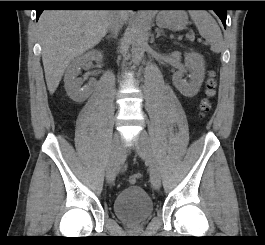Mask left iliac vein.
Returning a JSON list of instances; mask_svg holds the SVG:
<instances>
[{
	"mask_svg": "<svg viewBox=\"0 0 265 245\" xmlns=\"http://www.w3.org/2000/svg\"><path fill=\"white\" fill-rule=\"evenodd\" d=\"M136 142V150L139 157L149 164L151 184L154 189L159 190L161 186V176L148 134L144 130L140 131L137 135Z\"/></svg>",
	"mask_w": 265,
	"mask_h": 245,
	"instance_id": "1",
	"label": "left iliac vein"
}]
</instances>
